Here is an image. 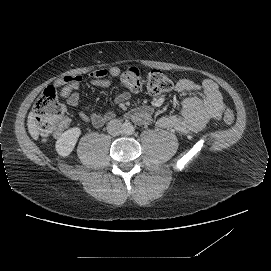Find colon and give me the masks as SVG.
Wrapping results in <instances>:
<instances>
[{"label":"colon","instance_id":"colon-1","mask_svg":"<svg viewBox=\"0 0 271 271\" xmlns=\"http://www.w3.org/2000/svg\"><path fill=\"white\" fill-rule=\"evenodd\" d=\"M121 85L132 92H138L142 87L141 74L138 68L126 69L120 78ZM173 87L172 80L160 70L149 72L145 81V90L150 95H158L170 91ZM223 119L227 125L234 123V114L230 109H225ZM32 121L35 128L43 136L50 135L54 131L60 132L68 122L65 107L58 102L56 89L53 86L46 87L37 98Z\"/></svg>","mask_w":271,"mask_h":271}]
</instances>
